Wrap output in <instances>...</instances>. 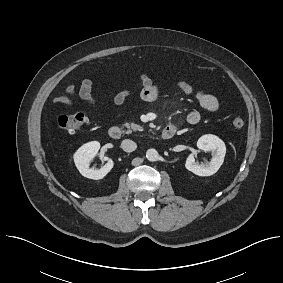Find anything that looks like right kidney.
I'll list each match as a JSON object with an SVG mask.
<instances>
[{
  "mask_svg": "<svg viewBox=\"0 0 283 283\" xmlns=\"http://www.w3.org/2000/svg\"><path fill=\"white\" fill-rule=\"evenodd\" d=\"M100 149V143L97 141L89 142L81 146L74 154L75 165L80 174L89 179H102L113 168L114 162L112 159L105 157L107 163L100 169H93L89 167L90 161L97 155Z\"/></svg>",
  "mask_w": 283,
  "mask_h": 283,
  "instance_id": "ca27d5eb",
  "label": "right kidney"
}]
</instances>
